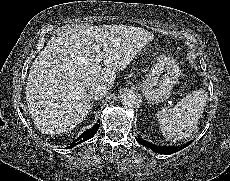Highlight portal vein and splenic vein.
Listing matches in <instances>:
<instances>
[{
  "mask_svg": "<svg viewBox=\"0 0 230 181\" xmlns=\"http://www.w3.org/2000/svg\"><path fill=\"white\" fill-rule=\"evenodd\" d=\"M96 49H98V48L96 47ZM101 61H102V52L98 53L97 56H96V58H95V62L97 64H99Z\"/></svg>",
  "mask_w": 230,
  "mask_h": 181,
  "instance_id": "obj_1",
  "label": "portal vein and splenic vein"
}]
</instances>
